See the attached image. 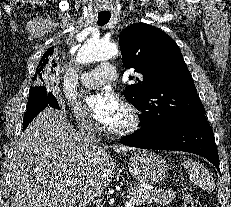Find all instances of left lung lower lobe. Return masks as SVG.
<instances>
[{"label": "left lung lower lobe", "instance_id": "left-lung-lower-lobe-1", "mask_svg": "<svg viewBox=\"0 0 231 207\" xmlns=\"http://www.w3.org/2000/svg\"><path fill=\"white\" fill-rule=\"evenodd\" d=\"M121 142L137 148L195 153L208 159L219 171L215 138L205 115L183 119L159 134L138 131L121 138Z\"/></svg>", "mask_w": 231, "mask_h": 207}]
</instances>
